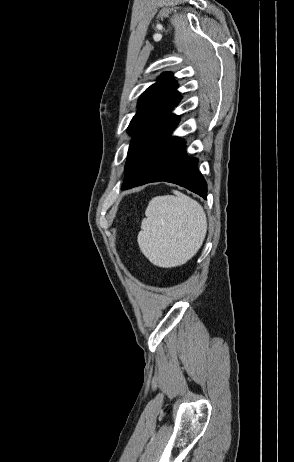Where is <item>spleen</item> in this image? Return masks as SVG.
<instances>
[{
	"label": "spleen",
	"instance_id": "1",
	"mask_svg": "<svg viewBox=\"0 0 294 462\" xmlns=\"http://www.w3.org/2000/svg\"><path fill=\"white\" fill-rule=\"evenodd\" d=\"M145 215L138 244L154 265L167 268L186 263L206 236L207 219L202 206L179 191L152 198Z\"/></svg>",
	"mask_w": 294,
	"mask_h": 462
}]
</instances>
